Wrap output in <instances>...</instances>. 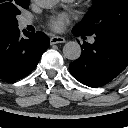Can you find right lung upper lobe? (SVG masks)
I'll return each mask as SVG.
<instances>
[{
	"mask_svg": "<svg viewBox=\"0 0 128 128\" xmlns=\"http://www.w3.org/2000/svg\"><path fill=\"white\" fill-rule=\"evenodd\" d=\"M7 1H9V0H0V2H2V3H5V2H7ZM11 31H13V29L10 28L9 26H7V25L4 23V21H1V20H0V34L9 33V32H11Z\"/></svg>",
	"mask_w": 128,
	"mask_h": 128,
	"instance_id": "cb5924a9",
	"label": "right lung upper lobe"
}]
</instances>
